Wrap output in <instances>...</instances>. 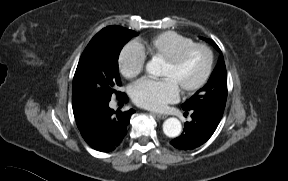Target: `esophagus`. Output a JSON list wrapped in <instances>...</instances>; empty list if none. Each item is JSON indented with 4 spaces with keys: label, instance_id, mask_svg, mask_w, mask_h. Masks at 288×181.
Listing matches in <instances>:
<instances>
[{
    "label": "esophagus",
    "instance_id": "obj_1",
    "mask_svg": "<svg viewBox=\"0 0 288 181\" xmlns=\"http://www.w3.org/2000/svg\"><path fill=\"white\" fill-rule=\"evenodd\" d=\"M154 115L159 118V119H165L167 117V115L165 114H159V113H154Z\"/></svg>",
    "mask_w": 288,
    "mask_h": 181
}]
</instances>
